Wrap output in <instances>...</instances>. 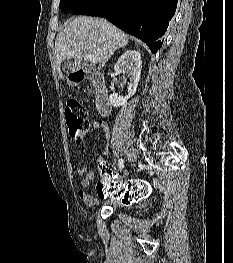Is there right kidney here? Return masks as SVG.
Listing matches in <instances>:
<instances>
[{
    "instance_id": "obj_1",
    "label": "right kidney",
    "mask_w": 233,
    "mask_h": 263,
    "mask_svg": "<svg viewBox=\"0 0 233 263\" xmlns=\"http://www.w3.org/2000/svg\"><path fill=\"white\" fill-rule=\"evenodd\" d=\"M114 69L118 73H127L128 79L127 96L123 97L116 93H113L109 96L111 105L118 108L120 106H125L128 99L136 93L142 69L140 51L127 50L124 52L116 62Z\"/></svg>"
}]
</instances>
